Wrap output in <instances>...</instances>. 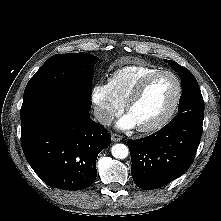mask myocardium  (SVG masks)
<instances>
[{
	"mask_svg": "<svg viewBox=\"0 0 221 221\" xmlns=\"http://www.w3.org/2000/svg\"><path fill=\"white\" fill-rule=\"evenodd\" d=\"M160 75H169L175 80L176 94H175V97H174V100H173L171 106L169 107L167 112L161 118H159L157 121H155L149 125L137 126L138 131L143 132V133L153 132V131H156V130L162 128L163 126H165L174 116V114L177 111V108L179 106L180 100H181L183 88H182V82H181L180 78L174 72H172L170 70L159 69L157 71H154V72L144 76L137 83V85L135 86V88L133 89V91L131 92V94L129 95V97L127 98V100L124 104L125 111L127 113L129 112L132 105L140 98V96L144 92L148 83L152 79H154L155 77H158Z\"/></svg>",
	"mask_w": 221,
	"mask_h": 221,
	"instance_id": "myocardium-1",
	"label": "myocardium"
}]
</instances>
